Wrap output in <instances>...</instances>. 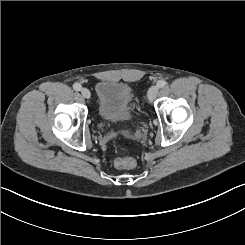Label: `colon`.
Segmentation results:
<instances>
[{
    "instance_id": "colon-1",
    "label": "colon",
    "mask_w": 245,
    "mask_h": 245,
    "mask_svg": "<svg viewBox=\"0 0 245 245\" xmlns=\"http://www.w3.org/2000/svg\"><path fill=\"white\" fill-rule=\"evenodd\" d=\"M115 164L120 169H132L136 166V161L131 157H122L116 159Z\"/></svg>"
}]
</instances>
